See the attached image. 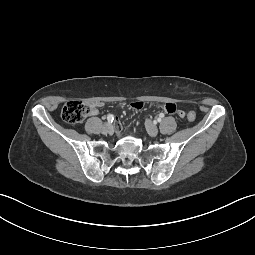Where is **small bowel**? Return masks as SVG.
I'll return each instance as SVG.
<instances>
[{
	"label": "small bowel",
	"instance_id": "1",
	"mask_svg": "<svg viewBox=\"0 0 255 255\" xmlns=\"http://www.w3.org/2000/svg\"><path fill=\"white\" fill-rule=\"evenodd\" d=\"M100 104H92L90 107V115L95 116L98 114V106ZM144 103L137 101L132 103V106L134 108H141L143 107ZM162 110H164L166 113L174 114V117L177 120H184L187 117V114L189 112V109L186 105L182 104L181 102H167L162 103L159 105Z\"/></svg>",
	"mask_w": 255,
	"mask_h": 255
}]
</instances>
